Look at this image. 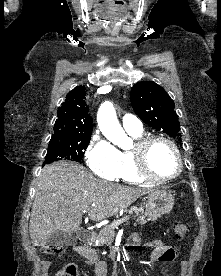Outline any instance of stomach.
Masks as SVG:
<instances>
[{
    "label": "stomach",
    "instance_id": "0dacf381",
    "mask_svg": "<svg viewBox=\"0 0 221 276\" xmlns=\"http://www.w3.org/2000/svg\"><path fill=\"white\" fill-rule=\"evenodd\" d=\"M146 199L147 209L158 215L169 213L174 205L173 195L164 190H153Z\"/></svg>",
    "mask_w": 221,
    "mask_h": 276
}]
</instances>
